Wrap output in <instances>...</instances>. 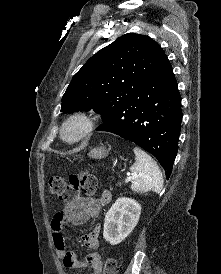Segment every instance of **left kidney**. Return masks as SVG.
Returning a JSON list of instances; mask_svg holds the SVG:
<instances>
[{"label":"left kidney","instance_id":"obj_1","mask_svg":"<svg viewBox=\"0 0 221 274\" xmlns=\"http://www.w3.org/2000/svg\"><path fill=\"white\" fill-rule=\"evenodd\" d=\"M141 205L131 198H118L105 215L103 237L111 245L121 243L136 227Z\"/></svg>","mask_w":221,"mask_h":274}]
</instances>
